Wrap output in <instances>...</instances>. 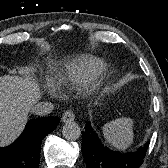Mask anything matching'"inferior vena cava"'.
Segmentation results:
<instances>
[{"instance_id":"1","label":"inferior vena cava","mask_w":168,"mask_h":168,"mask_svg":"<svg viewBox=\"0 0 168 168\" xmlns=\"http://www.w3.org/2000/svg\"><path fill=\"white\" fill-rule=\"evenodd\" d=\"M54 106L51 102H40L32 107L31 112L36 115H47L52 112Z\"/></svg>"}]
</instances>
